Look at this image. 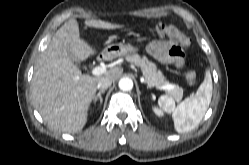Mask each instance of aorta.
Segmentation results:
<instances>
[{
	"mask_svg": "<svg viewBox=\"0 0 249 165\" xmlns=\"http://www.w3.org/2000/svg\"><path fill=\"white\" fill-rule=\"evenodd\" d=\"M119 88L122 91H130L133 88V81L128 77H123L119 80Z\"/></svg>",
	"mask_w": 249,
	"mask_h": 165,
	"instance_id": "obj_1",
	"label": "aorta"
}]
</instances>
